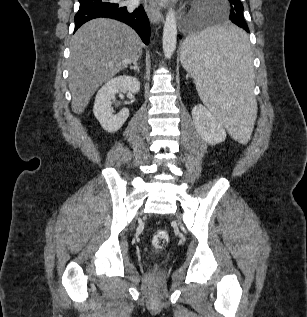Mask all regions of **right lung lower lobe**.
Here are the masks:
<instances>
[{"label":"right lung lower lobe","instance_id":"98d812e1","mask_svg":"<svg viewBox=\"0 0 307 317\" xmlns=\"http://www.w3.org/2000/svg\"><path fill=\"white\" fill-rule=\"evenodd\" d=\"M80 7L75 15V31L85 22L99 17L119 20L131 26L148 45L150 41L149 19L142 6L127 10L117 0H79Z\"/></svg>","mask_w":307,"mask_h":317}]
</instances>
